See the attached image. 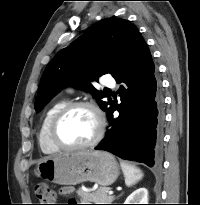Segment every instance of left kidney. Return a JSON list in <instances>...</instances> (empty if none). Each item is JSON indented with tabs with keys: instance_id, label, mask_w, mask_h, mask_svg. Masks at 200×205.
Instances as JSON below:
<instances>
[{
	"instance_id": "5707ae66",
	"label": "left kidney",
	"mask_w": 200,
	"mask_h": 205,
	"mask_svg": "<svg viewBox=\"0 0 200 205\" xmlns=\"http://www.w3.org/2000/svg\"><path fill=\"white\" fill-rule=\"evenodd\" d=\"M124 204H148V190L138 188L127 197Z\"/></svg>"
}]
</instances>
